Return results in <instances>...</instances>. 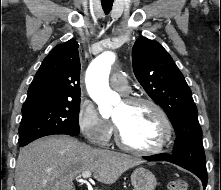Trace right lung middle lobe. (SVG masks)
Returning a JSON list of instances; mask_svg holds the SVG:
<instances>
[{
    "mask_svg": "<svg viewBox=\"0 0 221 190\" xmlns=\"http://www.w3.org/2000/svg\"><path fill=\"white\" fill-rule=\"evenodd\" d=\"M80 99L44 101L22 107L19 146L47 135L80 133L78 115Z\"/></svg>",
    "mask_w": 221,
    "mask_h": 190,
    "instance_id": "right-lung-middle-lobe-1",
    "label": "right lung middle lobe"
}]
</instances>
